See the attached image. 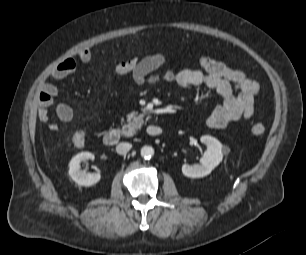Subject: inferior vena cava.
I'll return each instance as SVG.
<instances>
[{"instance_id":"inferior-vena-cava-1","label":"inferior vena cava","mask_w":306,"mask_h":255,"mask_svg":"<svg viewBox=\"0 0 306 255\" xmlns=\"http://www.w3.org/2000/svg\"><path fill=\"white\" fill-rule=\"evenodd\" d=\"M131 148L132 145L130 143H119L116 146V152L120 155H125Z\"/></svg>"}]
</instances>
